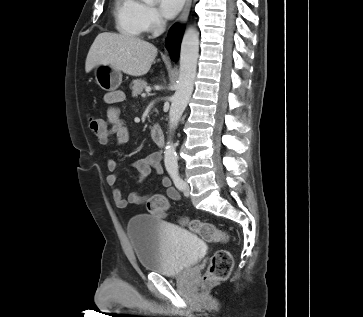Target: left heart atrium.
I'll return each mask as SVG.
<instances>
[{"instance_id": "39dd6f15", "label": "left heart atrium", "mask_w": 363, "mask_h": 317, "mask_svg": "<svg viewBox=\"0 0 363 317\" xmlns=\"http://www.w3.org/2000/svg\"><path fill=\"white\" fill-rule=\"evenodd\" d=\"M184 0H159L161 13L166 18L174 17L182 8Z\"/></svg>"}]
</instances>
